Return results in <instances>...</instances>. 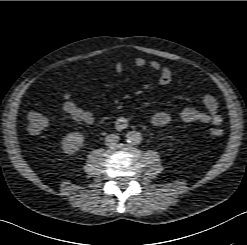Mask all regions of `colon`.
Masks as SVG:
<instances>
[{
    "label": "colon",
    "mask_w": 247,
    "mask_h": 245,
    "mask_svg": "<svg viewBox=\"0 0 247 245\" xmlns=\"http://www.w3.org/2000/svg\"><path fill=\"white\" fill-rule=\"evenodd\" d=\"M28 130L32 134H38L42 132L49 124L48 118L37 110H32L27 114ZM211 134L214 136H220L223 134V130L220 127H214L211 129Z\"/></svg>",
    "instance_id": "5ec220e1"
}]
</instances>
